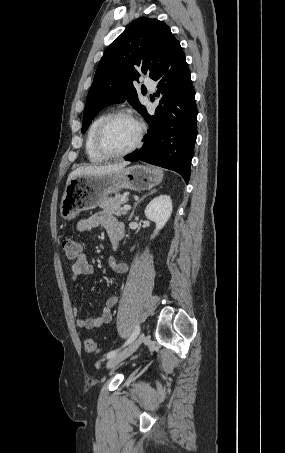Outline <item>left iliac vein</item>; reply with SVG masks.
<instances>
[{
  "label": "left iliac vein",
  "instance_id": "obj_1",
  "mask_svg": "<svg viewBox=\"0 0 285 453\" xmlns=\"http://www.w3.org/2000/svg\"><path fill=\"white\" fill-rule=\"evenodd\" d=\"M145 339V334L141 333L136 340H134L128 347H126L124 350L120 351L119 353L115 354L113 357H111L107 364L106 368L111 369L118 365L120 362L128 358L130 355H132L138 347L142 344V342Z\"/></svg>",
  "mask_w": 285,
  "mask_h": 453
}]
</instances>
